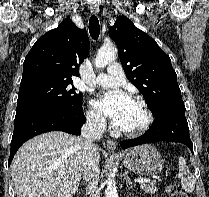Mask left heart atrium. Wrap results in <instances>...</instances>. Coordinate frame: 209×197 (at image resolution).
<instances>
[{"label":"left heart atrium","instance_id":"obj_1","mask_svg":"<svg viewBox=\"0 0 209 197\" xmlns=\"http://www.w3.org/2000/svg\"><path fill=\"white\" fill-rule=\"evenodd\" d=\"M96 104L115 126L122 128L129 121L136 102L122 91L109 90L98 97Z\"/></svg>","mask_w":209,"mask_h":197}]
</instances>
